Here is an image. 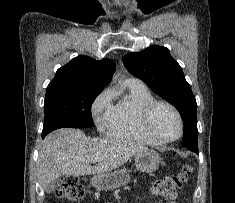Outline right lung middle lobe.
Returning <instances> with one entry per match:
<instances>
[{"instance_id":"right-lung-middle-lobe-1","label":"right lung middle lobe","mask_w":235,"mask_h":203,"mask_svg":"<svg viewBox=\"0 0 235 203\" xmlns=\"http://www.w3.org/2000/svg\"><path fill=\"white\" fill-rule=\"evenodd\" d=\"M101 91L100 88L85 86L47 89L42 134L64 127H92L91 106Z\"/></svg>"}]
</instances>
